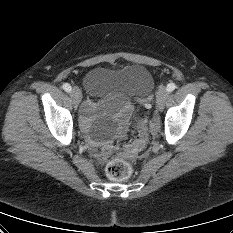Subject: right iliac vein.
<instances>
[{
  "mask_svg": "<svg viewBox=\"0 0 233 233\" xmlns=\"http://www.w3.org/2000/svg\"><path fill=\"white\" fill-rule=\"evenodd\" d=\"M71 97L75 107H77L82 99L81 91L77 87H74L71 91Z\"/></svg>",
  "mask_w": 233,
  "mask_h": 233,
  "instance_id": "obj_1",
  "label": "right iliac vein"
}]
</instances>
